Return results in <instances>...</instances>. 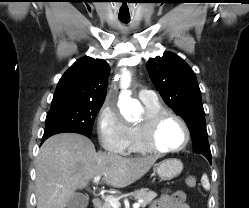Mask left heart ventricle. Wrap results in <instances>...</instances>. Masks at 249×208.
Wrapping results in <instances>:
<instances>
[{
  "instance_id": "left-heart-ventricle-1",
  "label": "left heart ventricle",
  "mask_w": 249,
  "mask_h": 208,
  "mask_svg": "<svg viewBox=\"0 0 249 208\" xmlns=\"http://www.w3.org/2000/svg\"><path fill=\"white\" fill-rule=\"evenodd\" d=\"M185 139L184 129L174 119H166L156 131L153 142L162 149H171L181 146Z\"/></svg>"
}]
</instances>
